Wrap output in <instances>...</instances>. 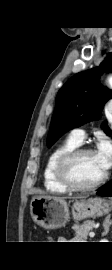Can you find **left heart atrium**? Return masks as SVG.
Here are the masks:
<instances>
[{
  "mask_svg": "<svg viewBox=\"0 0 112 270\" xmlns=\"http://www.w3.org/2000/svg\"><path fill=\"white\" fill-rule=\"evenodd\" d=\"M95 154L103 171H108L112 165V145L107 140L101 141Z\"/></svg>",
  "mask_w": 112,
  "mask_h": 270,
  "instance_id": "39dd6f15",
  "label": "left heart atrium"
}]
</instances>
